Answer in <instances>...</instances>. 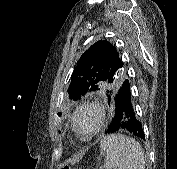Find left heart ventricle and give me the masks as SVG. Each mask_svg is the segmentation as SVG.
I'll return each instance as SVG.
<instances>
[{
	"mask_svg": "<svg viewBox=\"0 0 177 169\" xmlns=\"http://www.w3.org/2000/svg\"><path fill=\"white\" fill-rule=\"evenodd\" d=\"M95 124V116L90 111H83L77 119V125L84 134H89L90 132H92Z\"/></svg>",
	"mask_w": 177,
	"mask_h": 169,
	"instance_id": "obj_1",
	"label": "left heart ventricle"
}]
</instances>
